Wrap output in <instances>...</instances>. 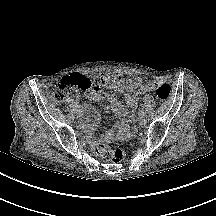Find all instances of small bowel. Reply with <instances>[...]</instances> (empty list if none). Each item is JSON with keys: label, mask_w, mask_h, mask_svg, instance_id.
Listing matches in <instances>:
<instances>
[{"label": "small bowel", "mask_w": 216, "mask_h": 216, "mask_svg": "<svg viewBox=\"0 0 216 216\" xmlns=\"http://www.w3.org/2000/svg\"><path fill=\"white\" fill-rule=\"evenodd\" d=\"M104 80V84L109 89H100L89 94V98L94 101L102 99L107 100L114 113L123 118L121 124L115 131L106 132L99 139L90 136V141L93 144L100 142H112L119 139H126L132 136L133 132L130 129V124L134 121V113L124 108L122 103L118 100L116 93L127 92L125 96L126 104L131 108L137 107L139 97L141 94L153 91L152 83L143 84L140 77L123 78L117 73H109L100 76ZM87 117L83 123V128L86 132L91 133L98 122V113L94 108H85Z\"/></svg>", "instance_id": "1"}]
</instances>
